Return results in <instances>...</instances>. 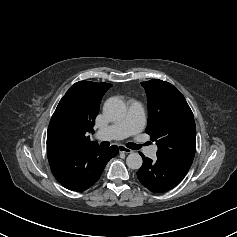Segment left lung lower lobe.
<instances>
[{
  "label": "left lung lower lobe",
  "mask_w": 237,
  "mask_h": 237,
  "mask_svg": "<svg viewBox=\"0 0 237 237\" xmlns=\"http://www.w3.org/2000/svg\"><path fill=\"white\" fill-rule=\"evenodd\" d=\"M143 165L137 172L139 181L150 191L166 192L176 185L187 174L190 165L177 162L168 158L157 156L155 161L144 157Z\"/></svg>",
  "instance_id": "1"
}]
</instances>
